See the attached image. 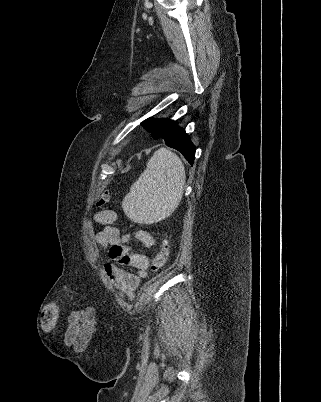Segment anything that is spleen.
Segmentation results:
<instances>
[{"label":"spleen","instance_id":"obj_1","mask_svg":"<svg viewBox=\"0 0 321 402\" xmlns=\"http://www.w3.org/2000/svg\"><path fill=\"white\" fill-rule=\"evenodd\" d=\"M185 180L181 159L166 148L158 149L126 194L122 202L125 214L140 224L168 217L182 199Z\"/></svg>","mask_w":321,"mask_h":402}]
</instances>
